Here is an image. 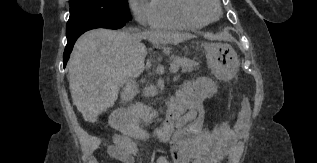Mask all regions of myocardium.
Segmentation results:
<instances>
[{"label": "myocardium", "instance_id": "1", "mask_svg": "<svg viewBox=\"0 0 317 163\" xmlns=\"http://www.w3.org/2000/svg\"><path fill=\"white\" fill-rule=\"evenodd\" d=\"M210 1L216 9V16L214 18H208L201 14L195 6L196 0H179V9L182 15L189 20L202 24L212 23L221 17L222 11L219 0Z\"/></svg>", "mask_w": 317, "mask_h": 163}]
</instances>
